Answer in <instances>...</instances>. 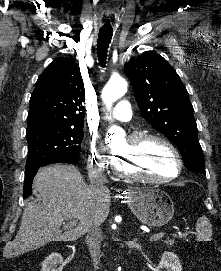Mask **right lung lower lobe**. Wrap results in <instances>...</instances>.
<instances>
[{"label":"right lung lower lobe","instance_id":"98d812e1","mask_svg":"<svg viewBox=\"0 0 221 271\" xmlns=\"http://www.w3.org/2000/svg\"><path fill=\"white\" fill-rule=\"evenodd\" d=\"M43 166H45V165H43ZM40 167H42V166L26 168V170H25L24 189H23L24 198L31 195V193H32V189H31L32 181H33V178L36 175V173H37V171H38V169Z\"/></svg>","mask_w":221,"mask_h":271}]
</instances>
